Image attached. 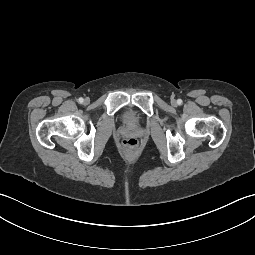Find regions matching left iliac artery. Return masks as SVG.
I'll use <instances>...</instances> for the list:
<instances>
[{
	"label": "left iliac artery",
	"instance_id": "obj_1",
	"mask_svg": "<svg viewBox=\"0 0 255 255\" xmlns=\"http://www.w3.org/2000/svg\"><path fill=\"white\" fill-rule=\"evenodd\" d=\"M177 103L180 105V104H182V100L181 99H178L177 100Z\"/></svg>",
	"mask_w": 255,
	"mask_h": 255
}]
</instances>
